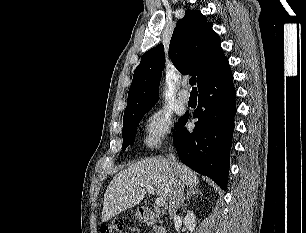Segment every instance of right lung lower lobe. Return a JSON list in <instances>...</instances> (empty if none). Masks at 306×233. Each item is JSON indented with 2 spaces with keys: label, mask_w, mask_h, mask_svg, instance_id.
I'll return each instance as SVG.
<instances>
[{
  "label": "right lung lower lobe",
  "mask_w": 306,
  "mask_h": 233,
  "mask_svg": "<svg viewBox=\"0 0 306 233\" xmlns=\"http://www.w3.org/2000/svg\"><path fill=\"white\" fill-rule=\"evenodd\" d=\"M198 91V108L193 114L198 118L196 127L192 132L184 128L189 117L186 113L176 126L173 142L185 165L226 189L236 113L231 69L207 81Z\"/></svg>",
  "instance_id": "obj_1"
}]
</instances>
